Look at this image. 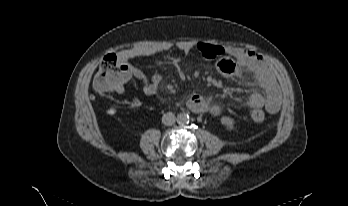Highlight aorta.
<instances>
[{
	"instance_id": "obj_1",
	"label": "aorta",
	"mask_w": 348,
	"mask_h": 206,
	"mask_svg": "<svg viewBox=\"0 0 348 206\" xmlns=\"http://www.w3.org/2000/svg\"><path fill=\"white\" fill-rule=\"evenodd\" d=\"M177 123L180 125L188 124L190 121V117L187 113L183 112L177 115Z\"/></svg>"
}]
</instances>
